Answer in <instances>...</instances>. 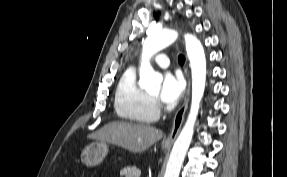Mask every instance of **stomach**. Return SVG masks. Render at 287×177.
Wrapping results in <instances>:
<instances>
[{
  "mask_svg": "<svg viewBox=\"0 0 287 177\" xmlns=\"http://www.w3.org/2000/svg\"><path fill=\"white\" fill-rule=\"evenodd\" d=\"M167 149V146H163ZM108 153V145L106 142H93L88 144L81 151V162L89 167L96 166L105 158Z\"/></svg>",
  "mask_w": 287,
  "mask_h": 177,
  "instance_id": "obj_1",
  "label": "stomach"
}]
</instances>
